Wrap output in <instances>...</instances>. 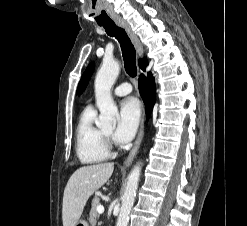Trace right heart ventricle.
<instances>
[{
  "instance_id": "e07e8e85",
  "label": "right heart ventricle",
  "mask_w": 247,
  "mask_h": 226,
  "mask_svg": "<svg viewBox=\"0 0 247 226\" xmlns=\"http://www.w3.org/2000/svg\"><path fill=\"white\" fill-rule=\"evenodd\" d=\"M96 112L88 106L82 112L76 130V153L83 164H95L109 156L104 133L95 124Z\"/></svg>"
}]
</instances>
